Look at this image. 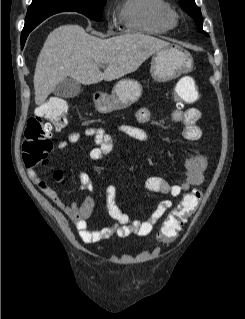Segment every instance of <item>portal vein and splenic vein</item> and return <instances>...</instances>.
I'll use <instances>...</instances> for the list:
<instances>
[{"instance_id": "portal-vein-and-splenic-vein-1", "label": "portal vein and splenic vein", "mask_w": 245, "mask_h": 319, "mask_svg": "<svg viewBox=\"0 0 245 319\" xmlns=\"http://www.w3.org/2000/svg\"><path fill=\"white\" fill-rule=\"evenodd\" d=\"M100 67L105 68V67H106V65L102 64Z\"/></svg>"}]
</instances>
